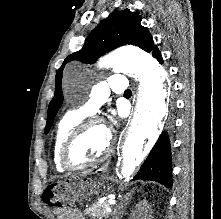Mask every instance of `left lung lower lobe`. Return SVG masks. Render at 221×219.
Wrapping results in <instances>:
<instances>
[{
	"mask_svg": "<svg viewBox=\"0 0 221 219\" xmlns=\"http://www.w3.org/2000/svg\"><path fill=\"white\" fill-rule=\"evenodd\" d=\"M151 53L161 64L163 63L161 53L157 47H154ZM171 160L169 136L166 132H163L133 180H153L163 184L167 188H171Z\"/></svg>",
	"mask_w": 221,
	"mask_h": 219,
	"instance_id": "0a47b994",
	"label": "left lung lower lobe"
}]
</instances>
